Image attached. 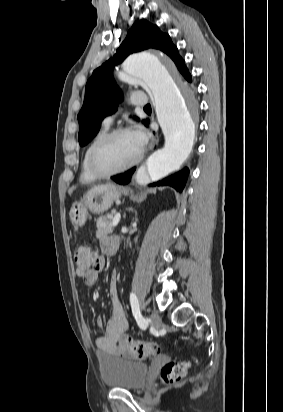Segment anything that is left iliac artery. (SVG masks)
Here are the masks:
<instances>
[{
  "instance_id": "1",
  "label": "left iliac artery",
  "mask_w": 283,
  "mask_h": 412,
  "mask_svg": "<svg viewBox=\"0 0 283 412\" xmlns=\"http://www.w3.org/2000/svg\"><path fill=\"white\" fill-rule=\"evenodd\" d=\"M130 304H131L133 316L135 317L137 324L139 325L141 329H145L147 326V321L144 319V317L141 314L139 301H138L137 296L134 293H130Z\"/></svg>"
}]
</instances>
